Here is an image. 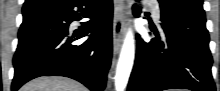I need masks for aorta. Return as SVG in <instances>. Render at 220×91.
Instances as JSON below:
<instances>
[{
  "instance_id": "1",
  "label": "aorta",
  "mask_w": 220,
  "mask_h": 91,
  "mask_svg": "<svg viewBox=\"0 0 220 91\" xmlns=\"http://www.w3.org/2000/svg\"><path fill=\"white\" fill-rule=\"evenodd\" d=\"M135 55V44L132 30L127 31L122 50L120 53L119 61L117 64L115 75V88L116 91H124L127 86L129 76L133 67Z\"/></svg>"
}]
</instances>
